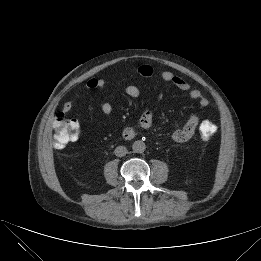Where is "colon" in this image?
Instances as JSON below:
<instances>
[{"label":"colon","mask_w":261,"mask_h":261,"mask_svg":"<svg viewBox=\"0 0 261 261\" xmlns=\"http://www.w3.org/2000/svg\"><path fill=\"white\" fill-rule=\"evenodd\" d=\"M53 129V143L56 148H64L78 139L79 131L76 121L66 118L63 113L55 117ZM216 131V125L211 121H203L200 125V136L203 140L211 139Z\"/></svg>","instance_id":"5ec220e1"}]
</instances>
